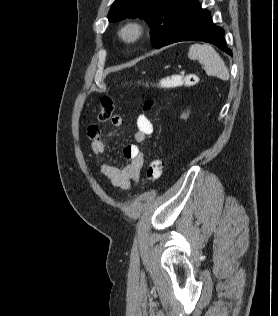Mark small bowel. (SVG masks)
<instances>
[{
  "mask_svg": "<svg viewBox=\"0 0 278 316\" xmlns=\"http://www.w3.org/2000/svg\"><path fill=\"white\" fill-rule=\"evenodd\" d=\"M110 123L113 128L118 129L122 126V117L118 114L112 115ZM136 125L137 130L134 133V140L137 144H130L124 147L123 155L128 160V163L121 168L111 164L108 159H98L107 150L106 140L97 127L92 126L88 130L91 149L94 156L98 159L101 174L108 178L113 186L123 190L128 189L132 181L139 179L144 163L142 145L153 133V124L145 114L138 115Z\"/></svg>",
  "mask_w": 278,
  "mask_h": 316,
  "instance_id": "small-bowel-1",
  "label": "small bowel"
}]
</instances>
